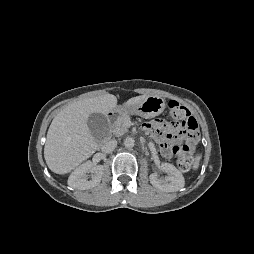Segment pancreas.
Wrapping results in <instances>:
<instances>
[{
    "label": "pancreas",
    "mask_w": 254,
    "mask_h": 254,
    "mask_svg": "<svg viewBox=\"0 0 254 254\" xmlns=\"http://www.w3.org/2000/svg\"><path fill=\"white\" fill-rule=\"evenodd\" d=\"M130 116L127 114L120 115L112 126V132L115 136L119 137L124 135L128 131V122H130Z\"/></svg>",
    "instance_id": "cf45deb5"
}]
</instances>
